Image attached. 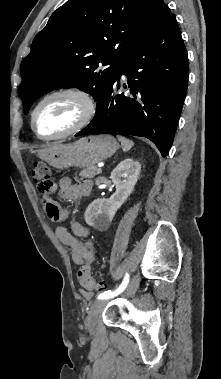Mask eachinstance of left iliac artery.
<instances>
[{"label":"left iliac artery","mask_w":221,"mask_h":379,"mask_svg":"<svg viewBox=\"0 0 221 379\" xmlns=\"http://www.w3.org/2000/svg\"><path fill=\"white\" fill-rule=\"evenodd\" d=\"M128 282H129V274L126 273L122 283L117 289H115L114 291L108 290V291L102 292L97 296V299H109V298L119 295L125 290V288L128 285Z\"/></svg>","instance_id":"left-iliac-artery-1"}]
</instances>
